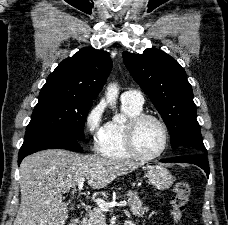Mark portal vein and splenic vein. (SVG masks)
I'll list each match as a JSON object with an SVG mask.
<instances>
[{
    "mask_svg": "<svg viewBox=\"0 0 228 225\" xmlns=\"http://www.w3.org/2000/svg\"><path fill=\"white\" fill-rule=\"evenodd\" d=\"M84 179H80L78 181L77 187L74 188V193L81 194L84 189ZM94 203H97L99 209L101 211H109L110 207H125L126 203H106V201H103V199H95Z\"/></svg>",
    "mask_w": 228,
    "mask_h": 225,
    "instance_id": "1",
    "label": "portal vein and splenic vein"
}]
</instances>
